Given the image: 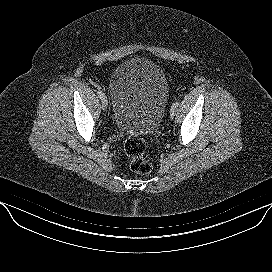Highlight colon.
<instances>
[{
	"instance_id": "1",
	"label": "colon",
	"mask_w": 272,
	"mask_h": 272,
	"mask_svg": "<svg viewBox=\"0 0 272 272\" xmlns=\"http://www.w3.org/2000/svg\"><path fill=\"white\" fill-rule=\"evenodd\" d=\"M124 149L130 159V169L140 175L148 174L152 170L151 162L145 157L146 144L138 136L126 139Z\"/></svg>"
}]
</instances>
